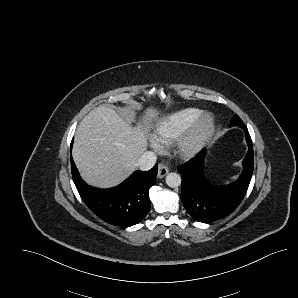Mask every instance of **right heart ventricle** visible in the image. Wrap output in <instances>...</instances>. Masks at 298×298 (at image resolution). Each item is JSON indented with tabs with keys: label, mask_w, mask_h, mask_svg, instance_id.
I'll use <instances>...</instances> for the list:
<instances>
[{
	"label": "right heart ventricle",
	"mask_w": 298,
	"mask_h": 298,
	"mask_svg": "<svg viewBox=\"0 0 298 298\" xmlns=\"http://www.w3.org/2000/svg\"><path fill=\"white\" fill-rule=\"evenodd\" d=\"M203 114L199 108H183L164 121H160L158 128L164 135L166 142L171 141L176 135L188 128L198 117Z\"/></svg>",
	"instance_id": "1"
}]
</instances>
